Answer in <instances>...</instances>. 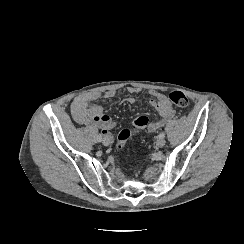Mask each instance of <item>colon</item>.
<instances>
[{
    "instance_id": "colon-1",
    "label": "colon",
    "mask_w": 244,
    "mask_h": 244,
    "mask_svg": "<svg viewBox=\"0 0 244 244\" xmlns=\"http://www.w3.org/2000/svg\"><path fill=\"white\" fill-rule=\"evenodd\" d=\"M169 99L171 103L174 106L177 107H187L189 105V99L188 97L181 91H173L169 94ZM149 123V118L147 116H140L135 122H134V129L135 131H139L143 128H145ZM129 130L128 129H122L119 134L117 135V143L116 148L118 150H122L129 138Z\"/></svg>"
}]
</instances>
